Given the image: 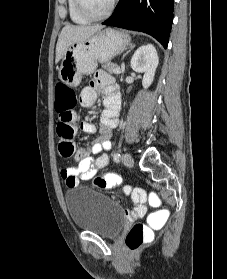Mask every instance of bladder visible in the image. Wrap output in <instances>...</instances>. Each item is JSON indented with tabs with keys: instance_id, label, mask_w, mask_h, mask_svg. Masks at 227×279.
I'll return each instance as SVG.
<instances>
[{
	"instance_id": "31cf9c89",
	"label": "bladder",
	"mask_w": 227,
	"mask_h": 279,
	"mask_svg": "<svg viewBox=\"0 0 227 279\" xmlns=\"http://www.w3.org/2000/svg\"><path fill=\"white\" fill-rule=\"evenodd\" d=\"M65 203L77 229L115 237L123 229L124 215L120 205L92 189L67 191Z\"/></svg>"
}]
</instances>
